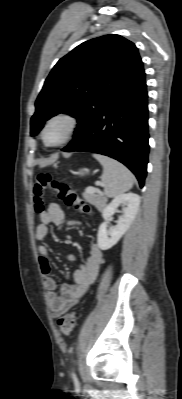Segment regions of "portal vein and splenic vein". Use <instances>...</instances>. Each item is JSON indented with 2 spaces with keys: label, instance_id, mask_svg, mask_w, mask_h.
<instances>
[{
  "label": "portal vein and splenic vein",
  "instance_id": "1",
  "mask_svg": "<svg viewBox=\"0 0 182 399\" xmlns=\"http://www.w3.org/2000/svg\"><path fill=\"white\" fill-rule=\"evenodd\" d=\"M94 191H97V189H95V188H88L87 190H86V192H94Z\"/></svg>",
  "mask_w": 182,
  "mask_h": 399
}]
</instances>
